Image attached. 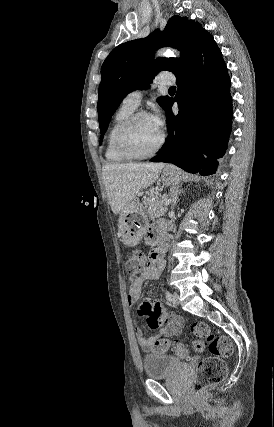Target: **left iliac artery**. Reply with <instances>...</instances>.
<instances>
[{"instance_id": "obj_1", "label": "left iliac artery", "mask_w": 274, "mask_h": 427, "mask_svg": "<svg viewBox=\"0 0 274 427\" xmlns=\"http://www.w3.org/2000/svg\"><path fill=\"white\" fill-rule=\"evenodd\" d=\"M165 295H166L167 300L170 302L172 300V294L167 290Z\"/></svg>"}]
</instances>
